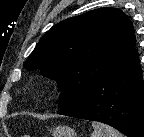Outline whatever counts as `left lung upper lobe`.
Here are the masks:
<instances>
[{"instance_id":"5c2ea615","label":"left lung upper lobe","mask_w":144,"mask_h":137,"mask_svg":"<svg viewBox=\"0 0 144 137\" xmlns=\"http://www.w3.org/2000/svg\"><path fill=\"white\" fill-rule=\"evenodd\" d=\"M134 27L117 8H99L53 26L24 63L55 79L62 91L59 108L86 95L134 50Z\"/></svg>"}]
</instances>
